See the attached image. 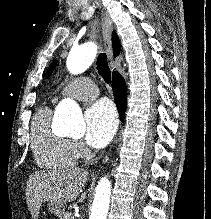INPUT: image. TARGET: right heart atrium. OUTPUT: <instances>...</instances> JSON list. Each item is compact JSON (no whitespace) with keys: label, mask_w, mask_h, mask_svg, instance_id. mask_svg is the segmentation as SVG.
Masks as SVG:
<instances>
[{"label":"right heart atrium","mask_w":211,"mask_h":219,"mask_svg":"<svg viewBox=\"0 0 211 219\" xmlns=\"http://www.w3.org/2000/svg\"><path fill=\"white\" fill-rule=\"evenodd\" d=\"M72 147L78 157H85L88 154L87 148L80 141H71Z\"/></svg>","instance_id":"right-heart-atrium-1"}]
</instances>
